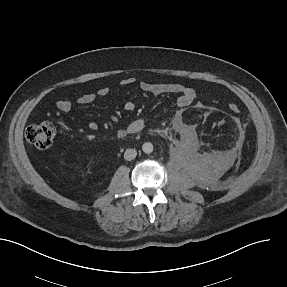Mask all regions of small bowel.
Masks as SVG:
<instances>
[{"label": "small bowel", "instance_id": "c3829d8e", "mask_svg": "<svg viewBox=\"0 0 287 287\" xmlns=\"http://www.w3.org/2000/svg\"><path fill=\"white\" fill-rule=\"evenodd\" d=\"M135 82V78L129 77L122 80V85H131ZM139 86L143 91L162 95V94H175L177 95L176 104L179 107H186L193 103L196 98V91L187 87L179 82H171V83H152L149 81H140ZM109 92L107 87H102L98 90L97 93H86L81 95L76 102L79 104H90L93 103L98 96H105ZM74 105V101L69 99L59 100L56 104V107L61 112H68L72 109ZM127 111H132L135 108L133 102L128 101L124 105ZM146 126V120L144 118H138L129 123L126 126L120 127L117 129V136L120 138L126 137L131 134H137L144 130ZM88 128L91 131H95L98 128V124L96 122H90L88 124Z\"/></svg>", "mask_w": 287, "mask_h": 287}]
</instances>
